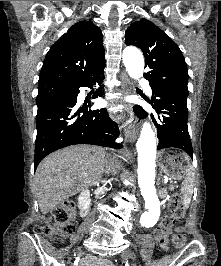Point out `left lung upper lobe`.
Returning <instances> with one entry per match:
<instances>
[{
    "instance_id": "1",
    "label": "left lung upper lobe",
    "mask_w": 221,
    "mask_h": 266,
    "mask_svg": "<svg viewBox=\"0 0 221 266\" xmlns=\"http://www.w3.org/2000/svg\"><path fill=\"white\" fill-rule=\"evenodd\" d=\"M125 43L143 51L144 77L150 85H157L188 96V72L185 59L177 44L151 21L142 18L125 32Z\"/></svg>"
}]
</instances>
